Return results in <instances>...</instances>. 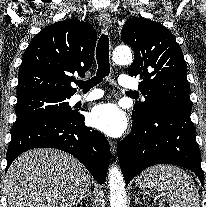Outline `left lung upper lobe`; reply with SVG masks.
<instances>
[{
  "label": "left lung upper lobe",
  "instance_id": "1",
  "mask_svg": "<svg viewBox=\"0 0 206 207\" xmlns=\"http://www.w3.org/2000/svg\"><path fill=\"white\" fill-rule=\"evenodd\" d=\"M121 39L135 51L130 76L139 77L144 102H136L133 117L145 119L156 104L192 109L187 65L179 44L163 25L145 18L128 19Z\"/></svg>",
  "mask_w": 206,
  "mask_h": 207
}]
</instances>
